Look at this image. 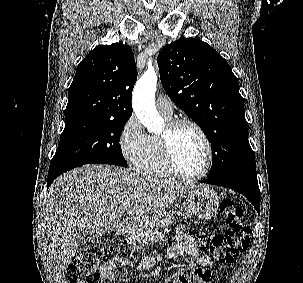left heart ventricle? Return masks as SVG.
<instances>
[{
  "label": "left heart ventricle",
  "mask_w": 303,
  "mask_h": 283,
  "mask_svg": "<svg viewBox=\"0 0 303 283\" xmlns=\"http://www.w3.org/2000/svg\"><path fill=\"white\" fill-rule=\"evenodd\" d=\"M166 127L161 132L164 134ZM174 157L178 168L185 174L201 172L206 162V149L199 134L191 127H182L173 138Z\"/></svg>",
  "instance_id": "b2bd125f"
}]
</instances>
